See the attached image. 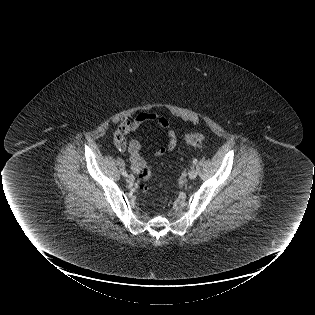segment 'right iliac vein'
<instances>
[{
    "mask_svg": "<svg viewBox=\"0 0 315 315\" xmlns=\"http://www.w3.org/2000/svg\"><path fill=\"white\" fill-rule=\"evenodd\" d=\"M126 180L128 183L132 184L135 181V177L132 174H129Z\"/></svg>",
    "mask_w": 315,
    "mask_h": 315,
    "instance_id": "1",
    "label": "right iliac vein"
}]
</instances>
